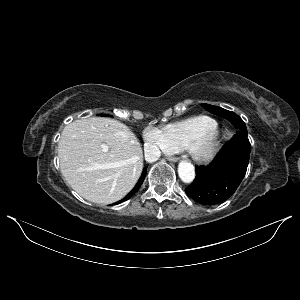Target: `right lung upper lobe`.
<instances>
[{"instance_id": "right-lung-upper-lobe-1", "label": "right lung upper lobe", "mask_w": 300, "mask_h": 300, "mask_svg": "<svg viewBox=\"0 0 300 300\" xmlns=\"http://www.w3.org/2000/svg\"><path fill=\"white\" fill-rule=\"evenodd\" d=\"M139 189V184H137L135 187H134V191H132V195H134Z\"/></svg>"}]
</instances>
